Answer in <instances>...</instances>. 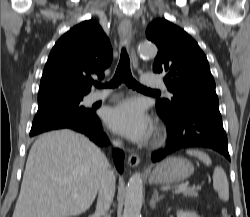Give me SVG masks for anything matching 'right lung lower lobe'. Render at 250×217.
<instances>
[{
    "label": "right lung lower lobe",
    "mask_w": 250,
    "mask_h": 217,
    "mask_svg": "<svg viewBox=\"0 0 250 217\" xmlns=\"http://www.w3.org/2000/svg\"><path fill=\"white\" fill-rule=\"evenodd\" d=\"M66 129H71V130L87 135L93 142H95L99 146L108 144V138L103 133L100 120L96 115H95V119L88 125L71 126V127H67ZM113 157H114V162L118 171L122 172L124 153L121 150L116 149L113 152Z\"/></svg>",
    "instance_id": "obj_1"
}]
</instances>
